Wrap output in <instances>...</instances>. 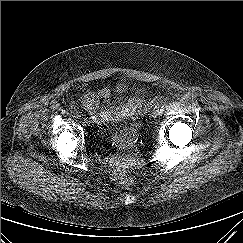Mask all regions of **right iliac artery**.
I'll return each mask as SVG.
<instances>
[{
    "instance_id": "1",
    "label": "right iliac artery",
    "mask_w": 243,
    "mask_h": 243,
    "mask_svg": "<svg viewBox=\"0 0 243 243\" xmlns=\"http://www.w3.org/2000/svg\"><path fill=\"white\" fill-rule=\"evenodd\" d=\"M74 116H75L76 118L81 117L80 112H79V111H76V112L74 113Z\"/></svg>"
}]
</instances>
